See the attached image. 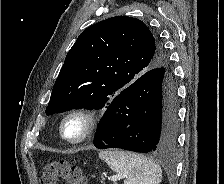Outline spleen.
<instances>
[{"label":"spleen","instance_id":"obj_1","mask_svg":"<svg viewBox=\"0 0 224 184\" xmlns=\"http://www.w3.org/2000/svg\"><path fill=\"white\" fill-rule=\"evenodd\" d=\"M99 158L125 177L124 184H160L162 169L153 160L127 151H100Z\"/></svg>","mask_w":224,"mask_h":184}]
</instances>
